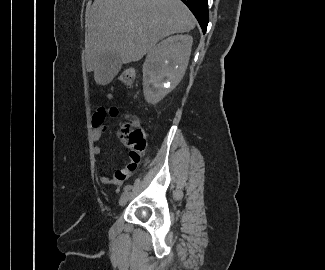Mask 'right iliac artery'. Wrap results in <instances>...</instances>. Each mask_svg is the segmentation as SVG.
<instances>
[{
    "mask_svg": "<svg viewBox=\"0 0 325 270\" xmlns=\"http://www.w3.org/2000/svg\"><path fill=\"white\" fill-rule=\"evenodd\" d=\"M132 188V185H126L125 187H124V191L125 192H127V191H129L130 189Z\"/></svg>",
    "mask_w": 325,
    "mask_h": 270,
    "instance_id": "obj_1",
    "label": "right iliac artery"
}]
</instances>
